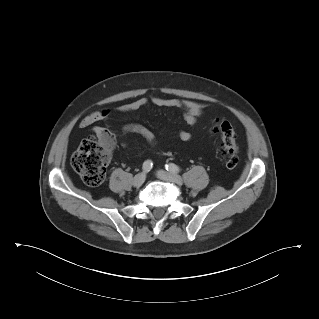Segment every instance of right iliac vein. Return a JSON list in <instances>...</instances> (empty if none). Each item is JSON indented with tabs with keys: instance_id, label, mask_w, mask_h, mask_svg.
Masks as SVG:
<instances>
[{
	"instance_id": "obj_1",
	"label": "right iliac vein",
	"mask_w": 319,
	"mask_h": 319,
	"mask_svg": "<svg viewBox=\"0 0 319 319\" xmlns=\"http://www.w3.org/2000/svg\"><path fill=\"white\" fill-rule=\"evenodd\" d=\"M146 179L145 173H139L133 178V185L135 187H140Z\"/></svg>"
}]
</instances>
